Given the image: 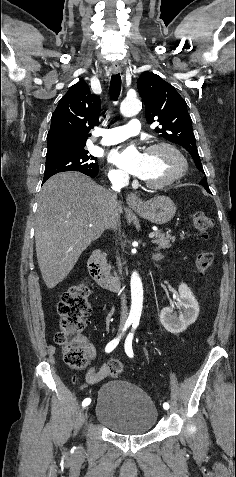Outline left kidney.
Returning a JSON list of instances; mask_svg holds the SVG:
<instances>
[{"label":"left kidney","mask_w":236,"mask_h":477,"mask_svg":"<svg viewBox=\"0 0 236 477\" xmlns=\"http://www.w3.org/2000/svg\"><path fill=\"white\" fill-rule=\"evenodd\" d=\"M179 300L169 307L164 308L160 313V322L164 328L173 334H179L193 324L199 315V304L192 291L184 283L178 288ZM183 308L179 315L174 313V309Z\"/></svg>","instance_id":"1"}]
</instances>
